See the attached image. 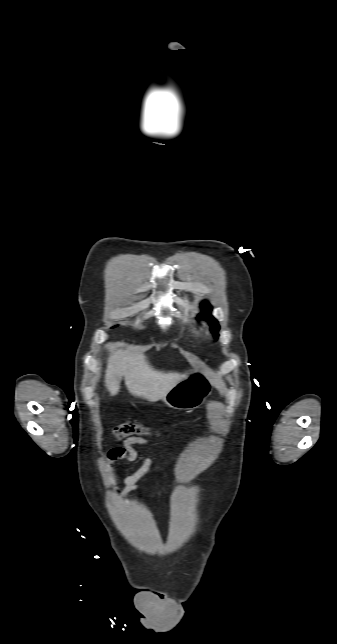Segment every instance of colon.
<instances>
[{"label": "colon", "instance_id": "colon-1", "mask_svg": "<svg viewBox=\"0 0 337 644\" xmlns=\"http://www.w3.org/2000/svg\"><path fill=\"white\" fill-rule=\"evenodd\" d=\"M147 434V429L135 422H124L116 426L113 430V435L117 440H122L131 436H143Z\"/></svg>", "mask_w": 337, "mask_h": 644}]
</instances>
